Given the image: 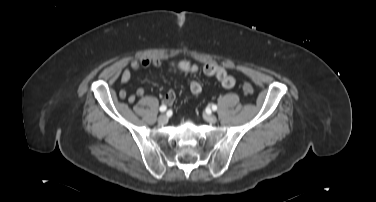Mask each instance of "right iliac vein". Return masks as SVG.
Returning <instances> with one entry per match:
<instances>
[{"mask_svg":"<svg viewBox=\"0 0 376 202\" xmlns=\"http://www.w3.org/2000/svg\"><path fill=\"white\" fill-rule=\"evenodd\" d=\"M168 121V117L166 116V114H161L159 117H158V122L160 124H165L167 123Z\"/></svg>","mask_w":376,"mask_h":202,"instance_id":"obj_1","label":"right iliac vein"}]
</instances>
